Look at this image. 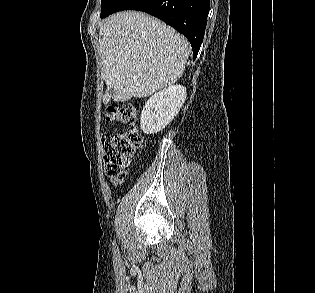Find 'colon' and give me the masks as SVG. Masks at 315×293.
I'll return each instance as SVG.
<instances>
[{
  "label": "colon",
  "instance_id": "1",
  "mask_svg": "<svg viewBox=\"0 0 315 293\" xmlns=\"http://www.w3.org/2000/svg\"><path fill=\"white\" fill-rule=\"evenodd\" d=\"M105 116L108 121L132 126L123 133L105 134L101 140L105 172L111 179L120 180L126 164L142 145V135L135 127L137 112L131 105L109 106L105 110Z\"/></svg>",
  "mask_w": 315,
  "mask_h": 293
}]
</instances>
